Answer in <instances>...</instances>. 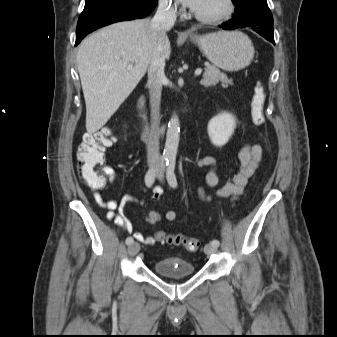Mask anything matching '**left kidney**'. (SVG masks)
Returning <instances> with one entry per match:
<instances>
[{
  "label": "left kidney",
  "instance_id": "left-kidney-1",
  "mask_svg": "<svg viewBox=\"0 0 337 337\" xmlns=\"http://www.w3.org/2000/svg\"><path fill=\"white\" fill-rule=\"evenodd\" d=\"M236 127L235 117L223 112L212 118L208 123V135L215 146L225 145L234 133Z\"/></svg>",
  "mask_w": 337,
  "mask_h": 337
}]
</instances>
